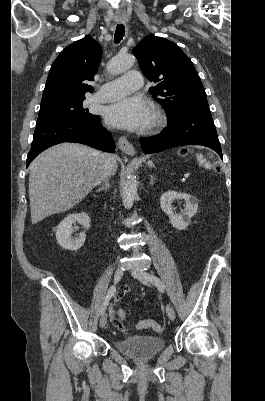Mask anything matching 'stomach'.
<instances>
[{"label":"stomach","instance_id":"stomach-1","mask_svg":"<svg viewBox=\"0 0 265 401\" xmlns=\"http://www.w3.org/2000/svg\"><path fill=\"white\" fill-rule=\"evenodd\" d=\"M140 160H144V158H140ZM148 166H153V162H151V160H149V162H147Z\"/></svg>","mask_w":265,"mask_h":401}]
</instances>
